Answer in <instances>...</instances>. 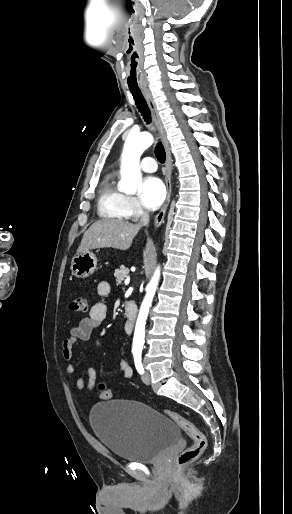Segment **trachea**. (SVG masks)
Masks as SVG:
<instances>
[{
    "label": "trachea",
    "instance_id": "1",
    "mask_svg": "<svg viewBox=\"0 0 292 514\" xmlns=\"http://www.w3.org/2000/svg\"><path fill=\"white\" fill-rule=\"evenodd\" d=\"M130 91L133 95L135 104H136L140 114L142 115L144 121L147 124H150L152 121L151 120V112H150V109H149V107L146 103V100L143 97L141 91L140 90H130ZM155 156L160 163L163 164L165 162L166 153H165L164 147H163L160 139H158V142L155 147Z\"/></svg>",
    "mask_w": 292,
    "mask_h": 514
}]
</instances>
